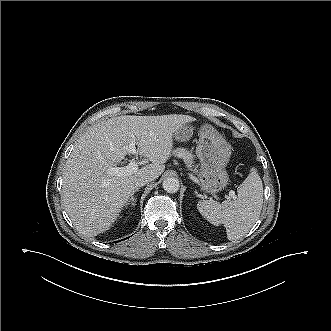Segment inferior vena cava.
<instances>
[{
	"label": "inferior vena cava",
	"instance_id": "inferior-vena-cava-1",
	"mask_svg": "<svg viewBox=\"0 0 331 331\" xmlns=\"http://www.w3.org/2000/svg\"><path fill=\"white\" fill-rule=\"evenodd\" d=\"M153 180L152 176L142 175L135 179L134 184L136 187H142Z\"/></svg>",
	"mask_w": 331,
	"mask_h": 331
}]
</instances>
